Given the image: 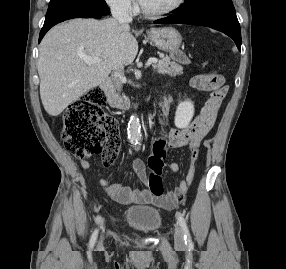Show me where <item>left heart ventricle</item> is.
<instances>
[{
    "label": "left heart ventricle",
    "mask_w": 286,
    "mask_h": 269,
    "mask_svg": "<svg viewBox=\"0 0 286 269\" xmlns=\"http://www.w3.org/2000/svg\"><path fill=\"white\" fill-rule=\"evenodd\" d=\"M175 0H141L144 7L151 11H158L169 7Z\"/></svg>",
    "instance_id": "left-heart-ventricle-1"
}]
</instances>
